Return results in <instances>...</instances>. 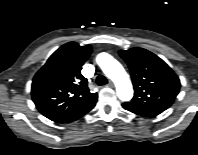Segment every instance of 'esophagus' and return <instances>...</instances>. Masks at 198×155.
I'll return each mask as SVG.
<instances>
[{"label": "esophagus", "instance_id": "obj_1", "mask_svg": "<svg viewBox=\"0 0 198 155\" xmlns=\"http://www.w3.org/2000/svg\"><path fill=\"white\" fill-rule=\"evenodd\" d=\"M108 86L109 87H113L114 86V83L110 80L109 83H108Z\"/></svg>", "mask_w": 198, "mask_h": 155}]
</instances>
